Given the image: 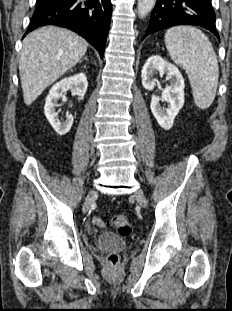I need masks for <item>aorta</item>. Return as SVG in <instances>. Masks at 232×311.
Returning <instances> with one entry per match:
<instances>
[{
  "instance_id": "1",
  "label": "aorta",
  "mask_w": 232,
  "mask_h": 311,
  "mask_svg": "<svg viewBox=\"0 0 232 311\" xmlns=\"http://www.w3.org/2000/svg\"><path fill=\"white\" fill-rule=\"evenodd\" d=\"M156 0H138L137 10L141 17L147 16L153 9Z\"/></svg>"
}]
</instances>
